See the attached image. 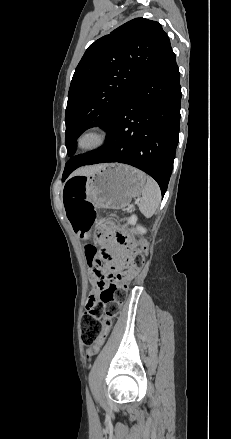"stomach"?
<instances>
[{"label": "stomach", "instance_id": "stomach-1", "mask_svg": "<svg viewBox=\"0 0 231 439\" xmlns=\"http://www.w3.org/2000/svg\"><path fill=\"white\" fill-rule=\"evenodd\" d=\"M82 177L87 200L98 208L108 209L126 207L142 193L146 182L143 172L123 164H107Z\"/></svg>", "mask_w": 231, "mask_h": 439}]
</instances>
